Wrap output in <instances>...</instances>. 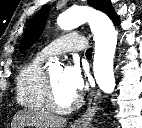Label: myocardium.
I'll use <instances>...</instances> for the list:
<instances>
[{"instance_id": "obj_1", "label": "myocardium", "mask_w": 142, "mask_h": 128, "mask_svg": "<svg viewBox=\"0 0 142 128\" xmlns=\"http://www.w3.org/2000/svg\"><path fill=\"white\" fill-rule=\"evenodd\" d=\"M45 98L48 108L53 112L59 114H66L73 111L79 105L80 102L79 98L75 96V98L69 105L60 106L56 101L55 92L49 73H46Z\"/></svg>"}]
</instances>
